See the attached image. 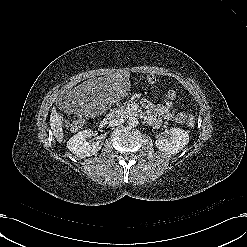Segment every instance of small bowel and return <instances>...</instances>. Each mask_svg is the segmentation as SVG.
Instances as JSON below:
<instances>
[{"label":"small bowel","mask_w":247,"mask_h":247,"mask_svg":"<svg viewBox=\"0 0 247 247\" xmlns=\"http://www.w3.org/2000/svg\"><path fill=\"white\" fill-rule=\"evenodd\" d=\"M150 83L155 82V77L150 75L148 77ZM173 99H167L161 104H154L150 101H143V106L147 110L146 121L148 124L154 127L161 125L162 120H170L176 123H184L186 121L187 114L184 112H177L172 101Z\"/></svg>","instance_id":"c3829d8e"}]
</instances>
